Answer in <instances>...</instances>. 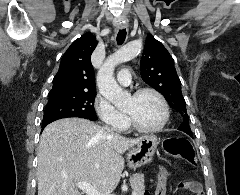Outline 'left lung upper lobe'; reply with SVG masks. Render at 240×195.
<instances>
[{
    "mask_svg": "<svg viewBox=\"0 0 240 195\" xmlns=\"http://www.w3.org/2000/svg\"><path fill=\"white\" fill-rule=\"evenodd\" d=\"M141 77L159 91L183 117L179 130L192 136L186 103L181 92V81L167 49L151 35L147 36L141 58Z\"/></svg>",
    "mask_w": 240,
    "mask_h": 195,
    "instance_id": "5c2ea615",
    "label": "left lung upper lobe"
}]
</instances>
